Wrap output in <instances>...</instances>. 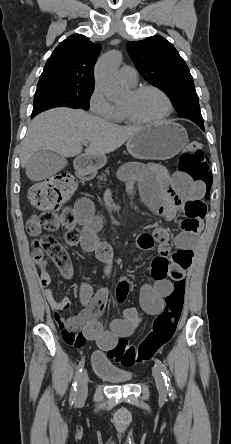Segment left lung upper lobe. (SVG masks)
Listing matches in <instances>:
<instances>
[{
    "label": "left lung upper lobe",
    "instance_id": "left-lung-upper-lobe-1",
    "mask_svg": "<svg viewBox=\"0 0 231 444\" xmlns=\"http://www.w3.org/2000/svg\"><path fill=\"white\" fill-rule=\"evenodd\" d=\"M142 77L172 99L181 117L203 123L193 77L175 47L160 35L127 43Z\"/></svg>",
    "mask_w": 231,
    "mask_h": 444
}]
</instances>
